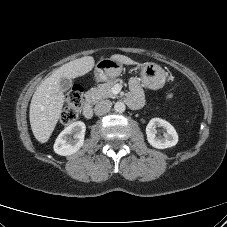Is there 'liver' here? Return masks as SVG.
Listing matches in <instances>:
<instances>
[{
    "label": "liver",
    "mask_w": 227,
    "mask_h": 227,
    "mask_svg": "<svg viewBox=\"0 0 227 227\" xmlns=\"http://www.w3.org/2000/svg\"><path fill=\"white\" fill-rule=\"evenodd\" d=\"M125 65L137 64L127 56L114 54L110 57ZM95 65L92 56H85L62 65L46 78L36 89L30 104V125L34 137L46 143L61 116L64 94L61 78L74 79L90 72Z\"/></svg>",
    "instance_id": "6515ba94"
}]
</instances>
